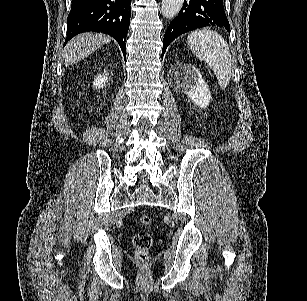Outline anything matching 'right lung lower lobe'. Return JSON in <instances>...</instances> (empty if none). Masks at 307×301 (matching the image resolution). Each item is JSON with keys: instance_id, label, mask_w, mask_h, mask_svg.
<instances>
[{"instance_id": "98d812e1", "label": "right lung lower lobe", "mask_w": 307, "mask_h": 301, "mask_svg": "<svg viewBox=\"0 0 307 301\" xmlns=\"http://www.w3.org/2000/svg\"><path fill=\"white\" fill-rule=\"evenodd\" d=\"M67 18L65 44L79 33L93 31L111 35L125 56L131 0H72Z\"/></svg>"}]
</instances>
